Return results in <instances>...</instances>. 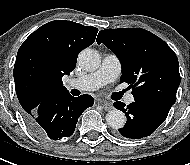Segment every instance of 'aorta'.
<instances>
[{"mask_svg":"<svg viewBox=\"0 0 190 165\" xmlns=\"http://www.w3.org/2000/svg\"><path fill=\"white\" fill-rule=\"evenodd\" d=\"M78 63L84 70L94 71L98 69L101 58L96 50L86 48L79 53ZM106 121L110 127L119 129L125 125L126 116L122 111L113 109L107 113Z\"/></svg>","mask_w":190,"mask_h":165,"instance_id":"aorta-1","label":"aorta"}]
</instances>
